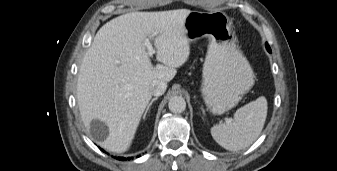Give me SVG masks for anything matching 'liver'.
I'll return each instance as SVG.
<instances>
[{"label":"liver","mask_w":337,"mask_h":171,"mask_svg":"<svg viewBox=\"0 0 337 171\" xmlns=\"http://www.w3.org/2000/svg\"><path fill=\"white\" fill-rule=\"evenodd\" d=\"M188 9L131 12L104 24L80 66L77 101L82 122L90 129L98 119L108 127L100 145L111 152L129 149L151 99L150 85L171 81L190 55L184 22ZM156 48L153 66L145 41Z\"/></svg>","instance_id":"6515ba94"}]
</instances>
